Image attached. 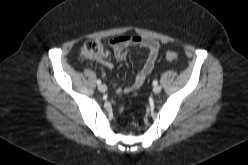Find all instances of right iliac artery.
Here are the masks:
<instances>
[{
  "label": "right iliac artery",
  "instance_id": "right-iliac-artery-1",
  "mask_svg": "<svg viewBox=\"0 0 248 165\" xmlns=\"http://www.w3.org/2000/svg\"><path fill=\"white\" fill-rule=\"evenodd\" d=\"M96 83H97L98 85H100V84H101V80H97Z\"/></svg>",
  "mask_w": 248,
  "mask_h": 165
}]
</instances>
